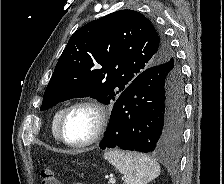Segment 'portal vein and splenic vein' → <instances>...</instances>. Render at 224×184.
Here are the masks:
<instances>
[{"instance_id": "18ae733b", "label": "portal vein and splenic vein", "mask_w": 224, "mask_h": 184, "mask_svg": "<svg viewBox=\"0 0 224 184\" xmlns=\"http://www.w3.org/2000/svg\"><path fill=\"white\" fill-rule=\"evenodd\" d=\"M115 182H116V180H115L114 178H110V179H109V183H110V184H115Z\"/></svg>"}]
</instances>
